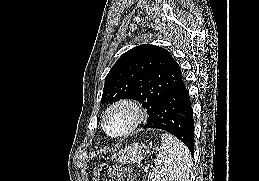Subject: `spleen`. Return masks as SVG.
Returning a JSON list of instances; mask_svg holds the SVG:
<instances>
[{"label": "spleen", "instance_id": "obj_1", "mask_svg": "<svg viewBox=\"0 0 259 181\" xmlns=\"http://www.w3.org/2000/svg\"><path fill=\"white\" fill-rule=\"evenodd\" d=\"M155 159L156 167L148 175L150 181H189L192 159L188 148L168 133L161 136Z\"/></svg>", "mask_w": 259, "mask_h": 181}]
</instances>
